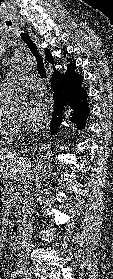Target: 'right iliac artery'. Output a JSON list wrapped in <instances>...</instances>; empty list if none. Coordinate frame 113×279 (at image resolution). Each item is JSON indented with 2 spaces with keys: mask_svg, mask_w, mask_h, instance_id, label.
<instances>
[{
  "mask_svg": "<svg viewBox=\"0 0 113 279\" xmlns=\"http://www.w3.org/2000/svg\"><path fill=\"white\" fill-rule=\"evenodd\" d=\"M20 275V271L19 270H14V271H12V273H11V277H13V279L14 278H17V276H19ZM12 279V278H11Z\"/></svg>",
  "mask_w": 113,
  "mask_h": 279,
  "instance_id": "82829eb1",
  "label": "right iliac artery"
}]
</instances>
